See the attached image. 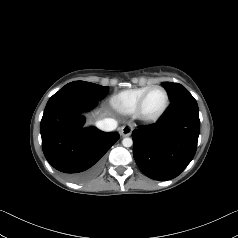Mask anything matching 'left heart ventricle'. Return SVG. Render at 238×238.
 Masks as SVG:
<instances>
[{"label":"left heart ventricle","mask_w":238,"mask_h":238,"mask_svg":"<svg viewBox=\"0 0 238 238\" xmlns=\"http://www.w3.org/2000/svg\"><path fill=\"white\" fill-rule=\"evenodd\" d=\"M165 104V94L160 89H154L148 95L145 104L144 112L147 115L157 114Z\"/></svg>","instance_id":"left-heart-ventricle-1"}]
</instances>
